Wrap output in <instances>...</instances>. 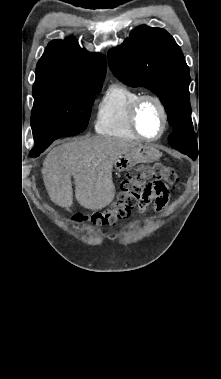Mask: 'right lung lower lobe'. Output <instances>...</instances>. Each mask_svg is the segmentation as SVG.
<instances>
[{
    "label": "right lung lower lobe",
    "instance_id": "obj_1",
    "mask_svg": "<svg viewBox=\"0 0 221 379\" xmlns=\"http://www.w3.org/2000/svg\"><path fill=\"white\" fill-rule=\"evenodd\" d=\"M46 148L45 147H43V148H41V149H32V151L30 152V157H37V156H39L40 155V153L41 152H43L44 150H45Z\"/></svg>",
    "mask_w": 221,
    "mask_h": 379
}]
</instances>
